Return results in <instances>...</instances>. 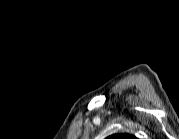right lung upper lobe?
I'll return each instance as SVG.
<instances>
[{
	"label": "right lung upper lobe",
	"mask_w": 179,
	"mask_h": 139,
	"mask_svg": "<svg viewBox=\"0 0 179 139\" xmlns=\"http://www.w3.org/2000/svg\"><path fill=\"white\" fill-rule=\"evenodd\" d=\"M110 139H131L132 135L129 134H116L109 137Z\"/></svg>",
	"instance_id": "obj_1"
}]
</instances>
